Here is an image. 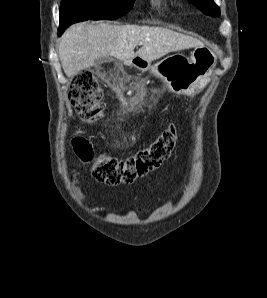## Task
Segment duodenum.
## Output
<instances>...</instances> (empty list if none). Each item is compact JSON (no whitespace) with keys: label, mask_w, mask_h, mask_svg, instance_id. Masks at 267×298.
<instances>
[{"label":"duodenum","mask_w":267,"mask_h":298,"mask_svg":"<svg viewBox=\"0 0 267 298\" xmlns=\"http://www.w3.org/2000/svg\"><path fill=\"white\" fill-rule=\"evenodd\" d=\"M127 65H129V66H133V67H136V66H137V64H135L134 62H131V61H129V62L127 63Z\"/></svg>","instance_id":"duodenum-1"}]
</instances>
